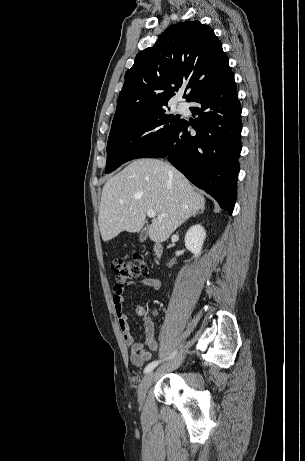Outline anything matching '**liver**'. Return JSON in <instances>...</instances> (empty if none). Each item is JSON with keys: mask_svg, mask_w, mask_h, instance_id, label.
<instances>
[{"mask_svg": "<svg viewBox=\"0 0 305 461\" xmlns=\"http://www.w3.org/2000/svg\"><path fill=\"white\" fill-rule=\"evenodd\" d=\"M204 206V197L178 170L161 160L138 159L105 183L98 223L102 239L107 242L122 231H140L147 211L154 210L157 217L147 234L152 241L164 242ZM159 215L165 216L158 218Z\"/></svg>", "mask_w": 305, "mask_h": 461, "instance_id": "liver-1", "label": "liver"}]
</instances>
